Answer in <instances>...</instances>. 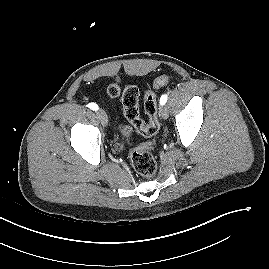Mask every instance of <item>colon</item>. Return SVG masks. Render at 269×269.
<instances>
[{
  "mask_svg": "<svg viewBox=\"0 0 269 269\" xmlns=\"http://www.w3.org/2000/svg\"><path fill=\"white\" fill-rule=\"evenodd\" d=\"M168 82L167 75H161L153 82L152 89L144 96V111L148 117L145 122L140 117L139 91L136 86L128 85L121 91L117 84H111L107 93L111 98H116L122 93V105L128 124L121 126V133L128 138L133 130L146 137L154 136L159 130L158 106L154 89L164 86ZM152 144H145L134 148L129 155L134 170L145 178L153 177L157 172V161L150 149Z\"/></svg>",
  "mask_w": 269,
  "mask_h": 269,
  "instance_id": "1",
  "label": "colon"
}]
</instances>
